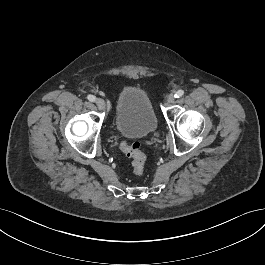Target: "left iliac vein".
<instances>
[{
    "mask_svg": "<svg viewBox=\"0 0 265 265\" xmlns=\"http://www.w3.org/2000/svg\"><path fill=\"white\" fill-rule=\"evenodd\" d=\"M166 100H167V103H172V102H174V100H175V96H174V94H169V95L167 96Z\"/></svg>",
    "mask_w": 265,
    "mask_h": 265,
    "instance_id": "1",
    "label": "left iliac vein"
}]
</instances>
